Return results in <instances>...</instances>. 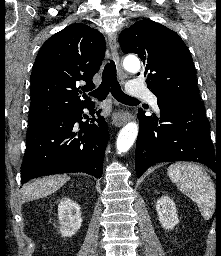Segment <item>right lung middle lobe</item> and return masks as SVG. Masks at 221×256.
<instances>
[{
	"mask_svg": "<svg viewBox=\"0 0 221 256\" xmlns=\"http://www.w3.org/2000/svg\"><path fill=\"white\" fill-rule=\"evenodd\" d=\"M44 119H47V118H44L43 115H34V116H30L29 117V120H28V125H33V124H36Z\"/></svg>",
	"mask_w": 221,
	"mask_h": 256,
	"instance_id": "right-lung-middle-lobe-1",
	"label": "right lung middle lobe"
}]
</instances>
